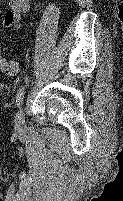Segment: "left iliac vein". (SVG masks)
Listing matches in <instances>:
<instances>
[{"label": "left iliac vein", "mask_w": 123, "mask_h": 201, "mask_svg": "<svg viewBox=\"0 0 123 201\" xmlns=\"http://www.w3.org/2000/svg\"><path fill=\"white\" fill-rule=\"evenodd\" d=\"M24 106H21L15 117V129L22 131L25 127Z\"/></svg>", "instance_id": "1"}]
</instances>
